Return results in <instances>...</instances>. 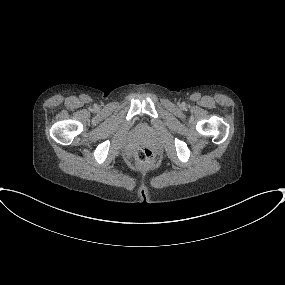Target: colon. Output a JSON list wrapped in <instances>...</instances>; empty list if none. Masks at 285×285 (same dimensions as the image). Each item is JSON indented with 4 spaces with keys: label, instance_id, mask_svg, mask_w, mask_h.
Returning <instances> with one entry per match:
<instances>
[{
    "label": "colon",
    "instance_id": "obj_1",
    "mask_svg": "<svg viewBox=\"0 0 285 285\" xmlns=\"http://www.w3.org/2000/svg\"><path fill=\"white\" fill-rule=\"evenodd\" d=\"M136 165L150 168L155 165V155L153 150L148 145H140L134 153Z\"/></svg>",
    "mask_w": 285,
    "mask_h": 285
}]
</instances>
